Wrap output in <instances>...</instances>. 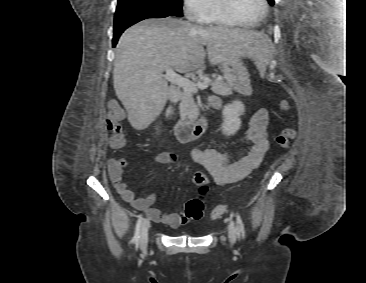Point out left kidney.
I'll use <instances>...</instances> for the list:
<instances>
[{"mask_svg":"<svg viewBox=\"0 0 366 283\" xmlns=\"http://www.w3.org/2000/svg\"><path fill=\"white\" fill-rule=\"evenodd\" d=\"M245 112V107L242 102L234 101L227 104L223 111L222 132L226 136L234 135L241 127L240 115Z\"/></svg>","mask_w":366,"mask_h":283,"instance_id":"1","label":"left kidney"}]
</instances>
